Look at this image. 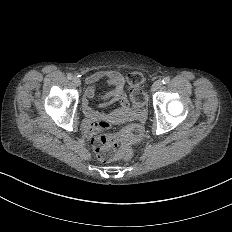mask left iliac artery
<instances>
[{"label":"left iliac artery","instance_id":"1","mask_svg":"<svg viewBox=\"0 0 232 232\" xmlns=\"http://www.w3.org/2000/svg\"><path fill=\"white\" fill-rule=\"evenodd\" d=\"M170 82V78L169 77H165V78H163V80H162V83L163 84H168Z\"/></svg>","mask_w":232,"mask_h":232}]
</instances>
